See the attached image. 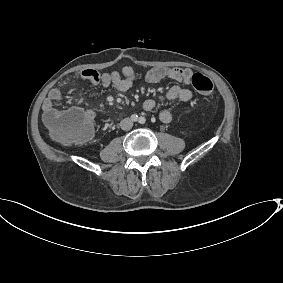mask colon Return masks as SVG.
I'll return each instance as SVG.
<instances>
[{
    "label": "colon",
    "instance_id": "1",
    "mask_svg": "<svg viewBox=\"0 0 283 283\" xmlns=\"http://www.w3.org/2000/svg\"><path fill=\"white\" fill-rule=\"evenodd\" d=\"M191 83L203 95L208 96L212 93V81L201 73L193 74ZM44 122L52 137L64 143H85L91 138L93 133L92 118L77 108L65 111L53 110L45 114Z\"/></svg>",
    "mask_w": 283,
    "mask_h": 283
}]
</instances>
